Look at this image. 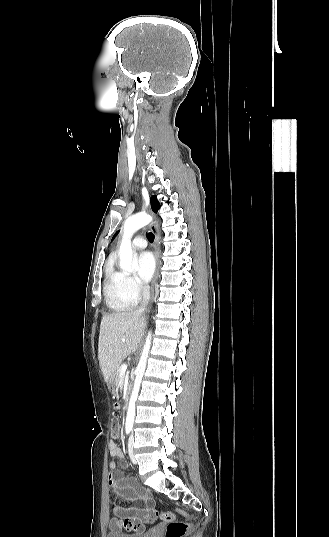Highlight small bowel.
Returning <instances> with one entry per match:
<instances>
[{
	"instance_id": "1",
	"label": "small bowel",
	"mask_w": 329,
	"mask_h": 537,
	"mask_svg": "<svg viewBox=\"0 0 329 537\" xmlns=\"http://www.w3.org/2000/svg\"><path fill=\"white\" fill-rule=\"evenodd\" d=\"M122 405L114 403L113 413H118ZM110 455L114 458L122 459L123 452L115 443L109 444ZM125 464L117 466L115 462L109 464V485L113 487L109 503L116 507L115 511L124 517V520L113 518L110 526L119 530H134L141 532L145 524L152 523L157 519L158 513L153 506L150 492L147 488L140 486L134 478L124 474Z\"/></svg>"
}]
</instances>
